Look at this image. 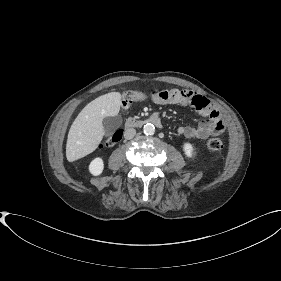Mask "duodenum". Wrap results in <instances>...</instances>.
Here are the masks:
<instances>
[{
    "instance_id": "duodenum-1",
    "label": "duodenum",
    "mask_w": 281,
    "mask_h": 281,
    "mask_svg": "<svg viewBox=\"0 0 281 281\" xmlns=\"http://www.w3.org/2000/svg\"><path fill=\"white\" fill-rule=\"evenodd\" d=\"M147 124H154L156 126H161L162 122L160 116L158 114H154L148 118L144 119H128L125 123V129L135 128V127H142Z\"/></svg>"
}]
</instances>
